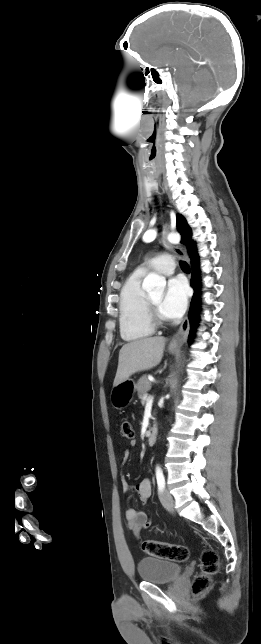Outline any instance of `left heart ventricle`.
Segmentation results:
<instances>
[{"mask_svg":"<svg viewBox=\"0 0 261 644\" xmlns=\"http://www.w3.org/2000/svg\"><path fill=\"white\" fill-rule=\"evenodd\" d=\"M150 298H151L152 302L154 303V305L157 307V309H158L159 313H160L163 317H165V316L163 315V313H162L161 309H160V305H161V302H162V299H163V294H162V293L153 294V295H151V296H150Z\"/></svg>","mask_w":261,"mask_h":644,"instance_id":"left-heart-ventricle-1","label":"left heart ventricle"}]
</instances>
